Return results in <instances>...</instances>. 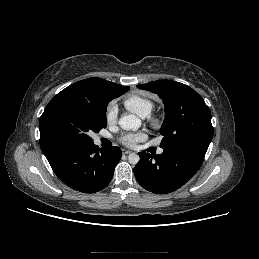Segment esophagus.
Wrapping results in <instances>:
<instances>
[{"label":"esophagus","instance_id":"obj_1","mask_svg":"<svg viewBox=\"0 0 259 259\" xmlns=\"http://www.w3.org/2000/svg\"><path fill=\"white\" fill-rule=\"evenodd\" d=\"M122 153L127 155V154H130L131 151L130 150H127V149H122Z\"/></svg>","mask_w":259,"mask_h":259}]
</instances>
